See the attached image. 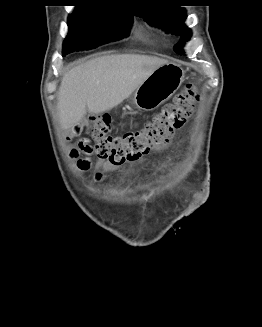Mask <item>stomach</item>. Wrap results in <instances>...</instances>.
<instances>
[{
    "instance_id": "stomach-1",
    "label": "stomach",
    "mask_w": 262,
    "mask_h": 327,
    "mask_svg": "<svg viewBox=\"0 0 262 327\" xmlns=\"http://www.w3.org/2000/svg\"><path fill=\"white\" fill-rule=\"evenodd\" d=\"M184 77L185 72L180 65L170 62L161 65L134 91L131 103L141 110H154L179 89Z\"/></svg>"
}]
</instances>
